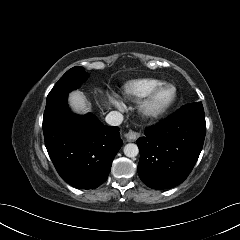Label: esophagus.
Returning <instances> with one entry per match:
<instances>
[{
	"label": "esophagus",
	"mask_w": 240,
	"mask_h": 240,
	"mask_svg": "<svg viewBox=\"0 0 240 240\" xmlns=\"http://www.w3.org/2000/svg\"><path fill=\"white\" fill-rule=\"evenodd\" d=\"M140 137V133L133 131V130H129L126 134H125V138L127 139V141L129 142H134L136 141L138 138Z\"/></svg>",
	"instance_id": "1"
}]
</instances>
